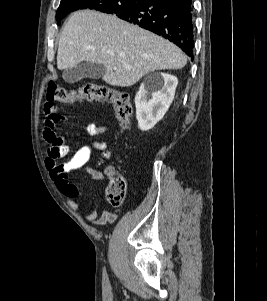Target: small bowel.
<instances>
[{
  "label": "small bowel",
  "instance_id": "c3829d8e",
  "mask_svg": "<svg viewBox=\"0 0 267 301\" xmlns=\"http://www.w3.org/2000/svg\"><path fill=\"white\" fill-rule=\"evenodd\" d=\"M44 114L43 137L48 145L45 166L48 169L56 188L66 199L69 207L73 211H77L78 205L76 200L80 196V191L78 187L69 180L68 174L71 171L84 168L86 174L92 179L102 181L104 179L103 173L97 169L86 167V164L89 162L94 150H104L106 149L107 144L104 141L92 139L78 149L69 160L60 162L59 160L65 157L69 152V146L57 135L55 130L57 124L63 120V116L53 100H47L45 102ZM109 129V125H97L95 123H89L85 127L86 133L90 137L105 134ZM109 170L110 169H108L107 172ZM84 218L94 226H104L107 223L114 222L117 215L110 210H103L100 212L97 208H94L89 211Z\"/></svg>",
  "mask_w": 267,
  "mask_h": 301
}]
</instances>
